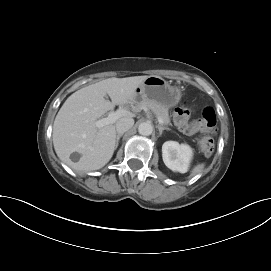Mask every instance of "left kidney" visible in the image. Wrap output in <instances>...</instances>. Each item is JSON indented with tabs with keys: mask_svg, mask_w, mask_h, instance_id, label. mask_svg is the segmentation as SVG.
Returning <instances> with one entry per match:
<instances>
[{
	"mask_svg": "<svg viewBox=\"0 0 271 271\" xmlns=\"http://www.w3.org/2000/svg\"><path fill=\"white\" fill-rule=\"evenodd\" d=\"M193 157L192 148L176 141H166L162 145V158L165 165L172 171L186 173Z\"/></svg>",
	"mask_w": 271,
	"mask_h": 271,
	"instance_id": "obj_1",
	"label": "left kidney"
}]
</instances>
